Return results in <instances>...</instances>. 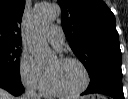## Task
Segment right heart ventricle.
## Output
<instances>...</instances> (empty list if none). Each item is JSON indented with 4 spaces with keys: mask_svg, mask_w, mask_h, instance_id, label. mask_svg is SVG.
<instances>
[{
    "mask_svg": "<svg viewBox=\"0 0 128 99\" xmlns=\"http://www.w3.org/2000/svg\"><path fill=\"white\" fill-rule=\"evenodd\" d=\"M41 91H42V93H43L44 95H46V96H53V95H55V94L53 93L51 87H50V84H49L48 80H47L45 86L43 87V89H42Z\"/></svg>",
    "mask_w": 128,
    "mask_h": 99,
    "instance_id": "obj_1",
    "label": "right heart ventricle"
}]
</instances>
